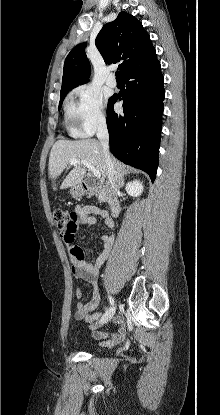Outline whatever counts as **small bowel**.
I'll list each match as a JSON object with an SVG mask.
<instances>
[{
    "label": "small bowel",
    "instance_id": "obj_1",
    "mask_svg": "<svg viewBox=\"0 0 220 415\" xmlns=\"http://www.w3.org/2000/svg\"><path fill=\"white\" fill-rule=\"evenodd\" d=\"M75 220L70 224L69 229L72 230V238L68 237V232L62 231L61 238L65 245L70 250V259L72 262V273L76 279L84 280L91 285V299L85 304L78 303L74 317L77 320H84L90 323V329L93 331L95 339L101 340V345L111 347L121 343L126 336V326L122 317L114 318L115 330L100 331L97 330L100 315L94 313L100 303V292L98 288L99 271L104 261L109 256L115 235L114 221L109 217L108 213L98 207L92 205H79L73 212ZM98 218H103L105 225L110 231L101 236L102 249L100 255L94 262L87 260V254L83 248L74 245L75 233L80 225L93 226L97 223ZM83 295V290L78 287L74 291L76 299H80Z\"/></svg>",
    "mask_w": 220,
    "mask_h": 415
}]
</instances>
